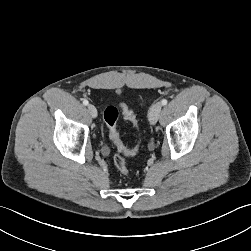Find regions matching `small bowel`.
Returning a JSON list of instances; mask_svg holds the SVG:
<instances>
[{
  "label": "small bowel",
  "instance_id": "small-bowel-1",
  "mask_svg": "<svg viewBox=\"0 0 251 251\" xmlns=\"http://www.w3.org/2000/svg\"><path fill=\"white\" fill-rule=\"evenodd\" d=\"M103 153L107 154L108 153V149L107 148H103Z\"/></svg>",
  "mask_w": 251,
  "mask_h": 251
}]
</instances>
